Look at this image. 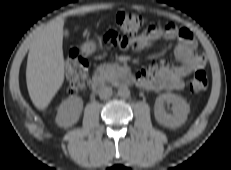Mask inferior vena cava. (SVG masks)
Segmentation results:
<instances>
[{"mask_svg": "<svg viewBox=\"0 0 231 170\" xmlns=\"http://www.w3.org/2000/svg\"><path fill=\"white\" fill-rule=\"evenodd\" d=\"M111 95H112L111 87L105 86V87H102L99 91V96L101 99H108L111 97Z\"/></svg>", "mask_w": 231, "mask_h": 170, "instance_id": "1", "label": "inferior vena cava"}]
</instances>
